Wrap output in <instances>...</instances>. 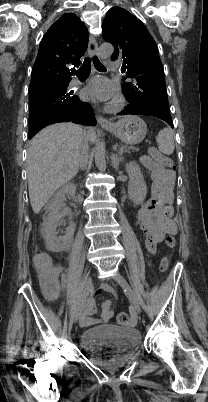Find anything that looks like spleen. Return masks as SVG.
I'll return each instance as SVG.
<instances>
[{
    "mask_svg": "<svg viewBox=\"0 0 208 402\" xmlns=\"http://www.w3.org/2000/svg\"><path fill=\"white\" fill-rule=\"evenodd\" d=\"M156 140L158 142V148L161 154H166V156H170V154H173L175 150V144L173 140V134L171 130H169V128H164V130H161Z\"/></svg>",
    "mask_w": 208,
    "mask_h": 402,
    "instance_id": "obj_1",
    "label": "spleen"
}]
</instances>
